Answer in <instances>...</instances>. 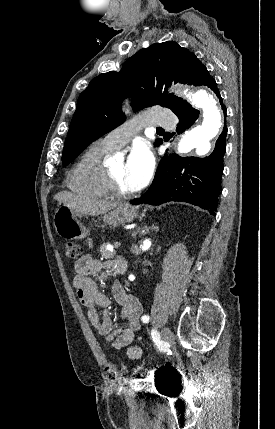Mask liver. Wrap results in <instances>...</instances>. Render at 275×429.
Listing matches in <instances>:
<instances>
[{
    "label": "liver",
    "instance_id": "6515ba94",
    "mask_svg": "<svg viewBox=\"0 0 275 429\" xmlns=\"http://www.w3.org/2000/svg\"><path fill=\"white\" fill-rule=\"evenodd\" d=\"M54 199L62 202L65 206L69 207L76 213L91 216L105 214L119 205L117 202L84 199L68 191L57 193L54 196Z\"/></svg>",
    "mask_w": 275,
    "mask_h": 429
}]
</instances>
